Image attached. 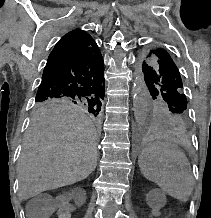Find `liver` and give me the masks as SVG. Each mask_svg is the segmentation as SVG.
Masks as SVG:
<instances>
[{
    "mask_svg": "<svg viewBox=\"0 0 211 218\" xmlns=\"http://www.w3.org/2000/svg\"><path fill=\"white\" fill-rule=\"evenodd\" d=\"M97 156L95 126L84 112L35 110L17 168L20 200L85 180L94 172Z\"/></svg>",
    "mask_w": 211,
    "mask_h": 218,
    "instance_id": "1",
    "label": "liver"
}]
</instances>
